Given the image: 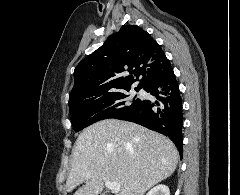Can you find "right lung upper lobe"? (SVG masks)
Returning a JSON list of instances; mask_svg holds the SVG:
<instances>
[{"label": "right lung upper lobe", "instance_id": "1", "mask_svg": "<svg viewBox=\"0 0 240 195\" xmlns=\"http://www.w3.org/2000/svg\"><path fill=\"white\" fill-rule=\"evenodd\" d=\"M172 70L161 46L148 32L137 25L123 26L76 66L69 104L130 89L139 77L135 89H144Z\"/></svg>", "mask_w": 240, "mask_h": 195}]
</instances>
